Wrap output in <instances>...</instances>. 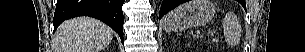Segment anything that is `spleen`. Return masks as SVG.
I'll use <instances>...</instances> for the list:
<instances>
[{
  "mask_svg": "<svg viewBox=\"0 0 305 52\" xmlns=\"http://www.w3.org/2000/svg\"><path fill=\"white\" fill-rule=\"evenodd\" d=\"M237 20L235 19V16L231 13H227L225 18L223 19L222 25H223V29H224V36H225V41L229 44V45H235V42L233 41V39L230 36L231 30L232 28L237 26Z\"/></svg>",
  "mask_w": 305,
  "mask_h": 52,
  "instance_id": "spleen-1",
  "label": "spleen"
}]
</instances>
